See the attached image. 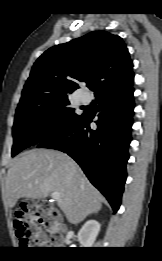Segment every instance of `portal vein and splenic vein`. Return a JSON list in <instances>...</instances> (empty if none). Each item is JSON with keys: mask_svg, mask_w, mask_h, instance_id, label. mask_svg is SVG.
I'll return each mask as SVG.
<instances>
[{"mask_svg": "<svg viewBox=\"0 0 162 261\" xmlns=\"http://www.w3.org/2000/svg\"><path fill=\"white\" fill-rule=\"evenodd\" d=\"M51 197L54 199V200H60V193L59 192H53L52 194H51Z\"/></svg>", "mask_w": 162, "mask_h": 261, "instance_id": "portal-vein-and-splenic-vein-1", "label": "portal vein and splenic vein"}]
</instances>
